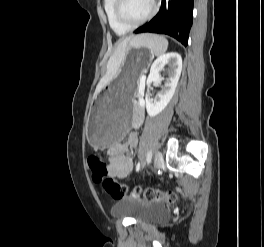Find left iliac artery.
Returning <instances> with one entry per match:
<instances>
[{
	"instance_id": "1",
	"label": "left iliac artery",
	"mask_w": 264,
	"mask_h": 247,
	"mask_svg": "<svg viewBox=\"0 0 264 247\" xmlns=\"http://www.w3.org/2000/svg\"><path fill=\"white\" fill-rule=\"evenodd\" d=\"M151 159H152V152L149 151L146 157L147 163H150ZM139 168H140V164L137 165L136 170H139Z\"/></svg>"
}]
</instances>
